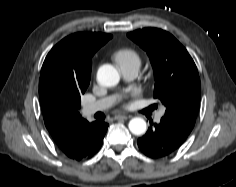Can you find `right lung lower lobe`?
Returning <instances> with one entry per match:
<instances>
[{
  "mask_svg": "<svg viewBox=\"0 0 236 187\" xmlns=\"http://www.w3.org/2000/svg\"><path fill=\"white\" fill-rule=\"evenodd\" d=\"M107 128L108 124L103 121L91 123L86 130L82 152L75 160L91 158L100 149Z\"/></svg>",
  "mask_w": 236,
  "mask_h": 187,
  "instance_id": "1",
  "label": "right lung lower lobe"
}]
</instances>
